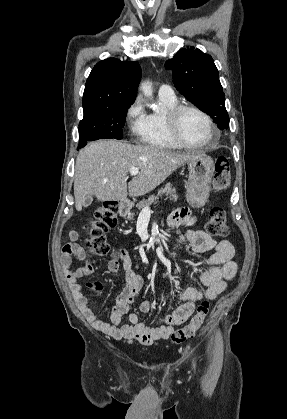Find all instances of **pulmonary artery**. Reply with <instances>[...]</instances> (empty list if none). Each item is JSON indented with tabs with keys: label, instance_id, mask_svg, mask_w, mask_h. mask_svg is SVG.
Wrapping results in <instances>:
<instances>
[{
	"label": "pulmonary artery",
	"instance_id": "1",
	"mask_svg": "<svg viewBox=\"0 0 287 419\" xmlns=\"http://www.w3.org/2000/svg\"><path fill=\"white\" fill-rule=\"evenodd\" d=\"M158 94L165 98H175L174 91L171 86L163 84L159 87Z\"/></svg>",
	"mask_w": 287,
	"mask_h": 419
}]
</instances>
